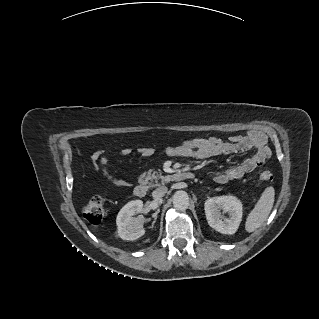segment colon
I'll list each match as a JSON object with an SVG mask.
<instances>
[{
	"label": "colon",
	"instance_id": "obj_1",
	"mask_svg": "<svg viewBox=\"0 0 319 319\" xmlns=\"http://www.w3.org/2000/svg\"><path fill=\"white\" fill-rule=\"evenodd\" d=\"M265 154L269 156L270 151L266 149ZM260 178L264 181H271L273 174L268 170H264L260 173ZM104 213V202L100 196L92 197L83 208V216L91 224H99L104 217Z\"/></svg>",
	"mask_w": 319,
	"mask_h": 319
}]
</instances>
